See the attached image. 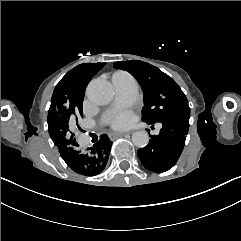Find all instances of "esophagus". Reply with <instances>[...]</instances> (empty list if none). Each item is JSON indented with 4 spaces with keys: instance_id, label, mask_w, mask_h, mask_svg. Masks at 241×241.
<instances>
[{
    "instance_id": "obj_1",
    "label": "esophagus",
    "mask_w": 241,
    "mask_h": 241,
    "mask_svg": "<svg viewBox=\"0 0 241 241\" xmlns=\"http://www.w3.org/2000/svg\"><path fill=\"white\" fill-rule=\"evenodd\" d=\"M124 135H125V133H123V132H117V133H110L109 137L111 140H115L119 137H123Z\"/></svg>"
}]
</instances>
